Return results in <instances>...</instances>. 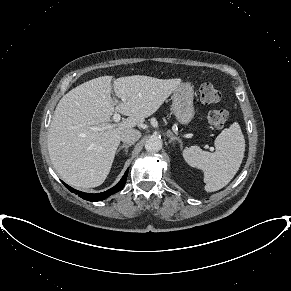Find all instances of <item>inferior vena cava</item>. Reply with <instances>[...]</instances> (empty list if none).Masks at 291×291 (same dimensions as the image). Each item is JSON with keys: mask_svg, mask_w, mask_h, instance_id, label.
<instances>
[{"mask_svg": "<svg viewBox=\"0 0 291 291\" xmlns=\"http://www.w3.org/2000/svg\"><path fill=\"white\" fill-rule=\"evenodd\" d=\"M141 137V132L135 129H128L121 134V141L134 144Z\"/></svg>", "mask_w": 291, "mask_h": 291, "instance_id": "inferior-vena-cava-1", "label": "inferior vena cava"}]
</instances>
